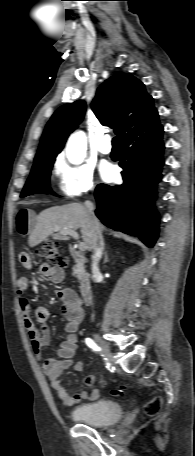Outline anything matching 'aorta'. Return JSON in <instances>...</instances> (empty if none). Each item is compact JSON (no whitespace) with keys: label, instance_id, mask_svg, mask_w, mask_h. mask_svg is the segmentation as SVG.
Returning a JSON list of instances; mask_svg holds the SVG:
<instances>
[{"label":"aorta","instance_id":"obj_1","mask_svg":"<svg viewBox=\"0 0 195 456\" xmlns=\"http://www.w3.org/2000/svg\"><path fill=\"white\" fill-rule=\"evenodd\" d=\"M87 137L83 131L73 133L67 142L66 155L70 163L79 165L86 156Z\"/></svg>","mask_w":195,"mask_h":456}]
</instances>
